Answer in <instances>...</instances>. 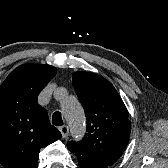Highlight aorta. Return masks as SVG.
Returning a JSON list of instances; mask_svg holds the SVG:
<instances>
[{"mask_svg":"<svg viewBox=\"0 0 168 168\" xmlns=\"http://www.w3.org/2000/svg\"><path fill=\"white\" fill-rule=\"evenodd\" d=\"M56 98L62 101V110L71 129L72 136L82 138L85 133V117L81 106L74 97H69L65 88H58Z\"/></svg>","mask_w":168,"mask_h":168,"instance_id":"1","label":"aorta"}]
</instances>
